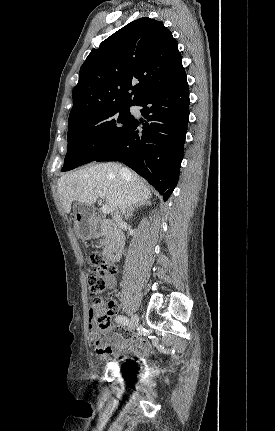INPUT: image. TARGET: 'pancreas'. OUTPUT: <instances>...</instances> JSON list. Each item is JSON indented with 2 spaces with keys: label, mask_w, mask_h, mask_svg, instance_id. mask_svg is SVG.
Returning a JSON list of instances; mask_svg holds the SVG:
<instances>
[{
  "label": "pancreas",
  "mask_w": 275,
  "mask_h": 431,
  "mask_svg": "<svg viewBox=\"0 0 275 431\" xmlns=\"http://www.w3.org/2000/svg\"><path fill=\"white\" fill-rule=\"evenodd\" d=\"M105 237H106V240L109 238V234H106L105 235ZM106 244V241L105 240H103V241H100V246H103V245H105Z\"/></svg>",
  "instance_id": "obj_1"
}]
</instances>
